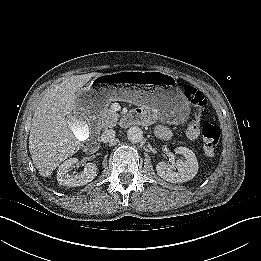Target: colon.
Segmentation results:
<instances>
[{"mask_svg":"<svg viewBox=\"0 0 261 261\" xmlns=\"http://www.w3.org/2000/svg\"><path fill=\"white\" fill-rule=\"evenodd\" d=\"M183 94L193 105V118L187 128V136L191 140H195L201 135L204 153L206 156L211 157L217 149L221 130L219 126L209 123L200 128V117L206 105V99L202 92L186 85L183 88Z\"/></svg>","mask_w":261,"mask_h":261,"instance_id":"obj_1","label":"colon"}]
</instances>
